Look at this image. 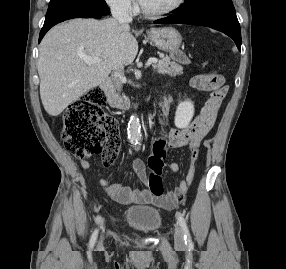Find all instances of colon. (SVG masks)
Returning a JSON list of instances; mask_svg holds the SVG:
<instances>
[{
  "label": "colon",
  "mask_w": 286,
  "mask_h": 269,
  "mask_svg": "<svg viewBox=\"0 0 286 269\" xmlns=\"http://www.w3.org/2000/svg\"><path fill=\"white\" fill-rule=\"evenodd\" d=\"M173 62H181L182 66H191L194 57L189 56V49H168ZM190 88L206 91L201 110H222L224 100H227V83L218 73L200 74L192 78ZM104 96L98 89H91L75 100L63 113L62 138L67 151L74 157L84 160L92 155L102 154L103 165L109 167L114 164L121 147V136L116 119L103 113ZM167 126V121H162ZM153 142L147 146L153 150H146L149 155L148 186L155 196L163 194L162 172L167 168L165 160L169 157L167 143L163 139L153 137Z\"/></svg>",
  "instance_id": "colon-1"
}]
</instances>
